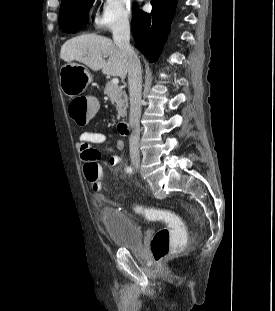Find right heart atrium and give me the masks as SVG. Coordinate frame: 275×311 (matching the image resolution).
I'll return each instance as SVG.
<instances>
[{"instance_id":"1","label":"right heart atrium","mask_w":275,"mask_h":311,"mask_svg":"<svg viewBox=\"0 0 275 311\" xmlns=\"http://www.w3.org/2000/svg\"><path fill=\"white\" fill-rule=\"evenodd\" d=\"M130 0H103L94 25L100 31L122 30L130 25Z\"/></svg>"}]
</instances>
